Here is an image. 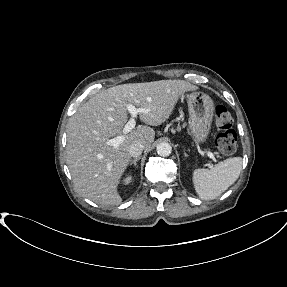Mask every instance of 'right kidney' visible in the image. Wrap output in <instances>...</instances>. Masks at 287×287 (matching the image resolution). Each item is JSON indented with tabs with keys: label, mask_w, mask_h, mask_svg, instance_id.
Here are the masks:
<instances>
[{
	"label": "right kidney",
	"mask_w": 287,
	"mask_h": 287,
	"mask_svg": "<svg viewBox=\"0 0 287 287\" xmlns=\"http://www.w3.org/2000/svg\"><path fill=\"white\" fill-rule=\"evenodd\" d=\"M124 181L126 184L129 183L131 181V177H127Z\"/></svg>",
	"instance_id": "right-kidney-1"
}]
</instances>
